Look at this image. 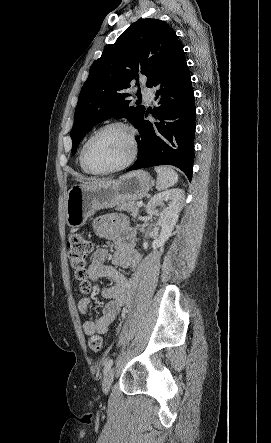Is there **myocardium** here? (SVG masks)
Returning a JSON list of instances; mask_svg holds the SVG:
<instances>
[{
    "label": "myocardium",
    "instance_id": "myocardium-1",
    "mask_svg": "<svg viewBox=\"0 0 271 443\" xmlns=\"http://www.w3.org/2000/svg\"><path fill=\"white\" fill-rule=\"evenodd\" d=\"M109 128H121L128 133L130 145H131L130 153H129L128 157L121 164H119L117 166H114L111 168H106V169L96 168L88 160V148H89L90 144L92 143V141L98 135H100L102 132H104L105 130H107ZM139 149H140V143H139V138H138V134H137L136 129L132 125H130L126 122L112 121V122H109V123L101 126L100 128H98L96 131H94L88 137V139L85 141V143L82 147L81 159H82V163H83L84 167L87 170H89L90 172H92L94 174H110V173H114V172L123 170L126 167H128L129 165H131L135 161V159L137 158V156L139 154Z\"/></svg>",
    "mask_w": 271,
    "mask_h": 443
}]
</instances>
